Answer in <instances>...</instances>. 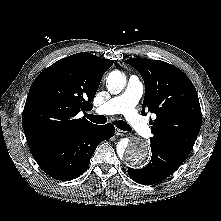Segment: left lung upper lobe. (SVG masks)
<instances>
[{"label": "left lung upper lobe", "instance_id": "obj_1", "mask_svg": "<svg viewBox=\"0 0 221 221\" xmlns=\"http://www.w3.org/2000/svg\"><path fill=\"white\" fill-rule=\"evenodd\" d=\"M145 83L142 114H156L150 120V141L162 142L186 155L194 146L201 127L202 114L196 89L178 68L164 61L130 58Z\"/></svg>", "mask_w": 221, "mask_h": 221}]
</instances>
